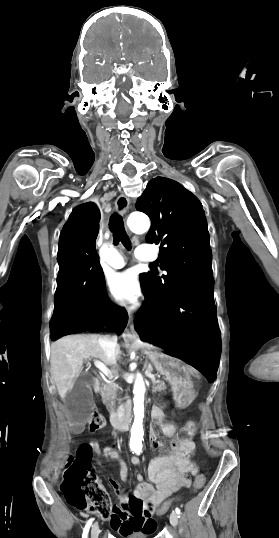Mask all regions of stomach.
I'll return each instance as SVG.
<instances>
[{
  "label": "stomach",
  "instance_id": "1",
  "mask_svg": "<svg viewBox=\"0 0 279 538\" xmlns=\"http://www.w3.org/2000/svg\"><path fill=\"white\" fill-rule=\"evenodd\" d=\"M147 354L150 364H153L157 374H161L163 380L168 378L169 382H177L172 389L178 390L181 405L183 407L193 405L198 398V393L190 382L189 363H183L181 358H175L174 353L147 352ZM175 402H179V399H175Z\"/></svg>",
  "mask_w": 279,
  "mask_h": 538
}]
</instances>
